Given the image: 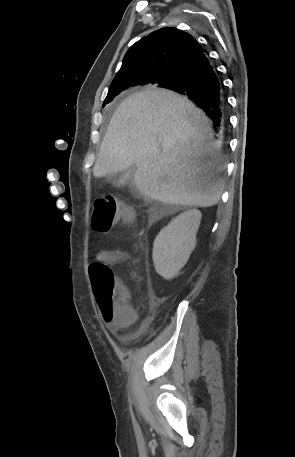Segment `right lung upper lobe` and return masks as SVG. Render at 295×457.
Instances as JSON below:
<instances>
[{
    "label": "right lung upper lobe",
    "instance_id": "1",
    "mask_svg": "<svg viewBox=\"0 0 295 457\" xmlns=\"http://www.w3.org/2000/svg\"><path fill=\"white\" fill-rule=\"evenodd\" d=\"M202 53V46L190 34L174 27L161 28L129 48L110 87L119 84L162 86Z\"/></svg>",
    "mask_w": 295,
    "mask_h": 457
}]
</instances>
